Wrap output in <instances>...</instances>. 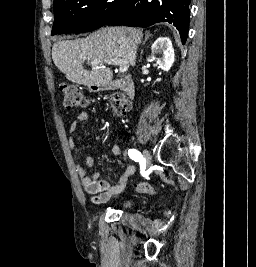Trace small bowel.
I'll list each match as a JSON object with an SVG mask.
<instances>
[{
    "instance_id": "small-bowel-1",
    "label": "small bowel",
    "mask_w": 256,
    "mask_h": 267,
    "mask_svg": "<svg viewBox=\"0 0 256 267\" xmlns=\"http://www.w3.org/2000/svg\"><path fill=\"white\" fill-rule=\"evenodd\" d=\"M88 115L85 112L80 113L69 126V131L71 134L76 133L78 125L81 122L86 121ZM68 146L71 150H76L75 139L70 137L68 140ZM122 152V149L119 145H115L112 148L113 156H118ZM83 162L88 165L91 169H86L79 162L75 163V170L78 174L84 190L91 195L92 202L95 204L104 203L108 201L114 195L120 193L126 186L128 178L132 176L136 171L135 164H130L127 166L119 175L118 183L116 185L111 184L105 179H98L97 172L94 168L97 165L95 159L90 157H83Z\"/></svg>"
}]
</instances>
